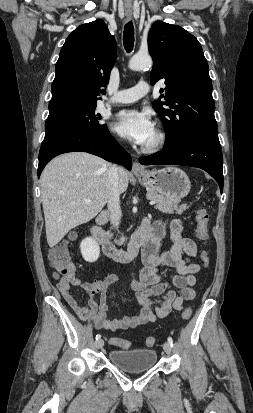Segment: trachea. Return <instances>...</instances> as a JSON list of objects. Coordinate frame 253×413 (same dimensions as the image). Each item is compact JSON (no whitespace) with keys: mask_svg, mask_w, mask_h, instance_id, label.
Instances as JSON below:
<instances>
[{"mask_svg":"<svg viewBox=\"0 0 253 413\" xmlns=\"http://www.w3.org/2000/svg\"><path fill=\"white\" fill-rule=\"evenodd\" d=\"M123 44L127 52H131L134 47V26L132 21L128 22L124 27Z\"/></svg>","mask_w":253,"mask_h":413,"instance_id":"3493384b","label":"trachea"}]
</instances>
